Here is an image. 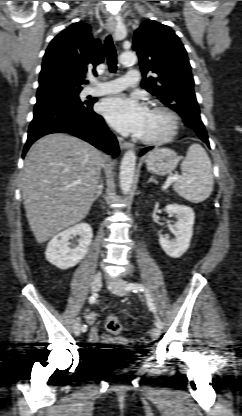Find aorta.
Returning a JSON list of instances; mask_svg holds the SVG:
<instances>
[{
  "label": "aorta",
  "mask_w": 242,
  "mask_h": 416,
  "mask_svg": "<svg viewBox=\"0 0 242 416\" xmlns=\"http://www.w3.org/2000/svg\"><path fill=\"white\" fill-rule=\"evenodd\" d=\"M121 64L131 65L136 62L137 57L134 52L127 51L120 55ZM136 155L133 151H127L121 161L120 165V188L122 193L127 195L130 193L135 173Z\"/></svg>",
  "instance_id": "aorta-1"
}]
</instances>
